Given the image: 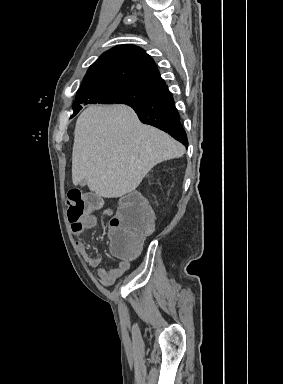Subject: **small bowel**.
Here are the masks:
<instances>
[{
	"label": "small bowel",
	"instance_id": "small-bowel-1",
	"mask_svg": "<svg viewBox=\"0 0 283 384\" xmlns=\"http://www.w3.org/2000/svg\"><path fill=\"white\" fill-rule=\"evenodd\" d=\"M107 214L111 215L109 210ZM96 217L92 213H88L82 220L80 226L75 227L72 225V231L74 234H79L83 231L93 228L96 225ZM77 250L93 268H97L100 282L105 286L112 285L117 279L123 276L130 268V262L122 260L116 267L108 268L102 265L101 257L92 256L83 242H77Z\"/></svg>",
	"mask_w": 283,
	"mask_h": 384
}]
</instances>
